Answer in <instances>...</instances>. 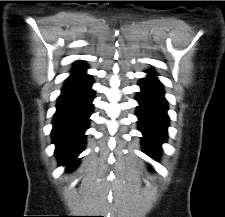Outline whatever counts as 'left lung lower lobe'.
Listing matches in <instances>:
<instances>
[{"mask_svg": "<svg viewBox=\"0 0 225 217\" xmlns=\"http://www.w3.org/2000/svg\"><path fill=\"white\" fill-rule=\"evenodd\" d=\"M139 86L141 92L136 96L139 106L136 115L139 119V130L143 133L142 145L146 154L156 158L160 153V144L166 141L169 117L167 102L160 81L154 77L155 73L147 72Z\"/></svg>", "mask_w": 225, "mask_h": 217, "instance_id": "obj_1", "label": "left lung lower lobe"}]
</instances>
